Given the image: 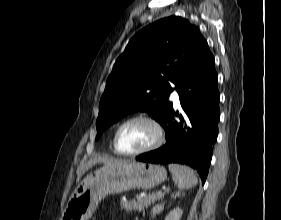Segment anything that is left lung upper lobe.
<instances>
[{
	"instance_id": "left-lung-upper-lobe-1",
	"label": "left lung upper lobe",
	"mask_w": 281,
	"mask_h": 220,
	"mask_svg": "<svg viewBox=\"0 0 281 220\" xmlns=\"http://www.w3.org/2000/svg\"><path fill=\"white\" fill-rule=\"evenodd\" d=\"M209 49L199 29L170 16L135 34L117 58L99 104V139L120 118L145 111L163 127L173 110L168 101L192 63Z\"/></svg>"
}]
</instances>
